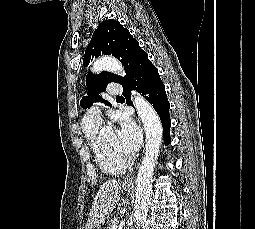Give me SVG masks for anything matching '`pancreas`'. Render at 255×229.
<instances>
[{"label":"pancreas","mask_w":255,"mask_h":229,"mask_svg":"<svg viewBox=\"0 0 255 229\" xmlns=\"http://www.w3.org/2000/svg\"><path fill=\"white\" fill-rule=\"evenodd\" d=\"M116 224H117V222L115 220H111L108 224L107 229H113V226L116 225Z\"/></svg>","instance_id":"obj_1"}]
</instances>
